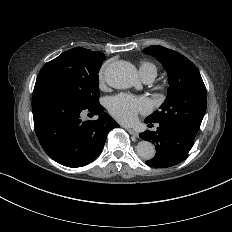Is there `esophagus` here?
Segmentation results:
<instances>
[{
  "label": "esophagus",
  "mask_w": 232,
  "mask_h": 232,
  "mask_svg": "<svg viewBox=\"0 0 232 232\" xmlns=\"http://www.w3.org/2000/svg\"><path fill=\"white\" fill-rule=\"evenodd\" d=\"M126 130L132 134L133 136H138V132H136L134 129H131V128H126Z\"/></svg>",
  "instance_id": "esophagus-1"
}]
</instances>
